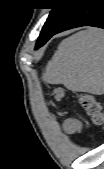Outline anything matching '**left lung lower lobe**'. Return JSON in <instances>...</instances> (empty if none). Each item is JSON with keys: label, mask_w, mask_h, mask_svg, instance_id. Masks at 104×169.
Masks as SVG:
<instances>
[{"label": "left lung lower lobe", "mask_w": 104, "mask_h": 169, "mask_svg": "<svg viewBox=\"0 0 104 169\" xmlns=\"http://www.w3.org/2000/svg\"><path fill=\"white\" fill-rule=\"evenodd\" d=\"M94 26L104 29L103 0H76L72 10L49 34L41 32L35 49L43 46L53 35L76 27Z\"/></svg>", "instance_id": "left-lung-lower-lobe-1"}]
</instances>
